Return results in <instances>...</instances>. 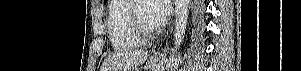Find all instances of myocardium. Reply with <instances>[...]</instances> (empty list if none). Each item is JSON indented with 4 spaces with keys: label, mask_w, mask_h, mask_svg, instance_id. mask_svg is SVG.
<instances>
[{
    "label": "myocardium",
    "mask_w": 301,
    "mask_h": 71,
    "mask_svg": "<svg viewBox=\"0 0 301 71\" xmlns=\"http://www.w3.org/2000/svg\"><path fill=\"white\" fill-rule=\"evenodd\" d=\"M142 0H132L128 9V18L130 22V26L133 32L138 36L141 40L146 41L154 38L158 30L157 29H148L146 28L140 21L137 15V4Z\"/></svg>",
    "instance_id": "1"
}]
</instances>
